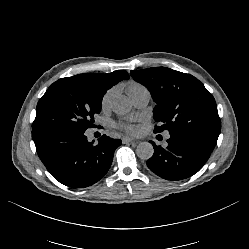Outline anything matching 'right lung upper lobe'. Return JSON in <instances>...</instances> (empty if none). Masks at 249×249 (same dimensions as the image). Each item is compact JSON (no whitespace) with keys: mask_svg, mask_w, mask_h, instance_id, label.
<instances>
[{"mask_svg":"<svg viewBox=\"0 0 249 249\" xmlns=\"http://www.w3.org/2000/svg\"><path fill=\"white\" fill-rule=\"evenodd\" d=\"M72 78L83 79L91 84H93L98 89L102 90L106 93L108 89H110L113 85L122 81L123 79L128 80L129 75L125 70L114 71L109 74L103 73H87V74H79L73 76Z\"/></svg>","mask_w":249,"mask_h":249,"instance_id":"obj_1","label":"right lung upper lobe"}]
</instances>
